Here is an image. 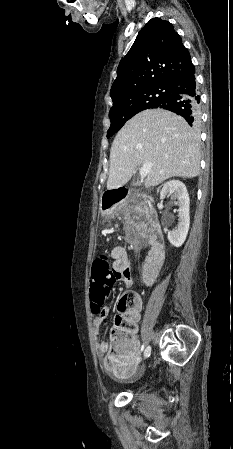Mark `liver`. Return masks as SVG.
I'll list each match as a JSON object with an SVG mask.
<instances>
[{"label":"liver","mask_w":233,"mask_h":449,"mask_svg":"<svg viewBox=\"0 0 233 449\" xmlns=\"http://www.w3.org/2000/svg\"><path fill=\"white\" fill-rule=\"evenodd\" d=\"M199 138L186 120L163 109H149L131 118L110 149L107 189L126 184L138 165L150 162L147 188L172 177L193 178L200 172Z\"/></svg>","instance_id":"1"}]
</instances>
